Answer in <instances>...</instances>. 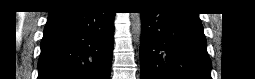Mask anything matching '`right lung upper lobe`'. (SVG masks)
<instances>
[{
    "instance_id": "right-lung-upper-lobe-1",
    "label": "right lung upper lobe",
    "mask_w": 255,
    "mask_h": 79,
    "mask_svg": "<svg viewBox=\"0 0 255 79\" xmlns=\"http://www.w3.org/2000/svg\"><path fill=\"white\" fill-rule=\"evenodd\" d=\"M82 2H86L83 0H60L57 2V5L55 7H64L68 5H75V4H80Z\"/></svg>"
}]
</instances>
